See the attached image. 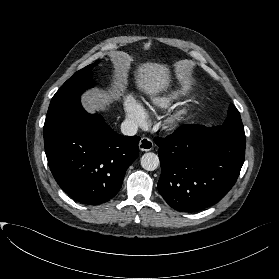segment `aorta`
<instances>
[{
  "label": "aorta",
  "instance_id": "1",
  "mask_svg": "<svg viewBox=\"0 0 279 279\" xmlns=\"http://www.w3.org/2000/svg\"><path fill=\"white\" fill-rule=\"evenodd\" d=\"M140 161L142 168L147 171H154L160 164L158 155L152 152H148L142 155Z\"/></svg>",
  "mask_w": 279,
  "mask_h": 279
}]
</instances>
